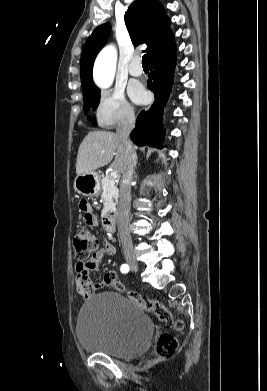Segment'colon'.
I'll return each instance as SVG.
<instances>
[{"instance_id":"colon-1","label":"colon","mask_w":267,"mask_h":391,"mask_svg":"<svg viewBox=\"0 0 267 391\" xmlns=\"http://www.w3.org/2000/svg\"><path fill=\"white\" fill-rule=\"evenodd\" d=\"M99 245V239L96 235L86 230H80L74 236L73 246L75 257L78 263H87L91 260ZM107 282L110 287L117 291L123 292L125 288L118 280L115 273L109 272L107 275ZM128 298L137 303L145 311L154 314L161 322L173 324L176 330L183 328V323L179 320L173 319L171 311L161 302L154 299H147L141 297L135 292H128ZM178 348V341L175 336L164 332L157 339L155 345V353L159 358L172 357Z\"/></svg>"}]
</instances>
